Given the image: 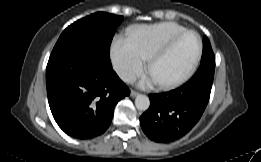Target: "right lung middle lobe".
<instances>
[{"instance_id":"dd1d6c3e","label":"right lung middle lobe","mask_w":261,"mask_h":162,"mask_svg":"<svg viewBox=\"0 0 261 162\" xmlns=\"http://www.w3.org/2000/svg\"><path fill=\"white\" fill-rule=\"evenodd\" d=\"M123 17L97 12L68 26L59 37L51 54L78 47H92L109 54L116 27Z\"/></svg>"}]
</instances>
